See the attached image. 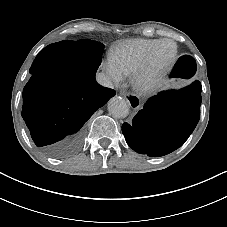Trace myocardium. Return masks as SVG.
<instances>
[{
	"instance_id": "1",
	"label": "myocardium",
	"mask_w": 227,
	"mask_h": 227,
	"mask_svg": "<svg viewBox=\"0 0 227 227\" xmlns=\"http://www.w3.org/2000/svg\"><path fill=\"white\" fill-rule=\"evenodd\" d=\"M165 43H171L174 46V53L160 71L155 76L150 77L149 73L155 65L158 51ZM178 55L179 49L176 42L171 39H162L153 47L145 60L133 70L132 81L134 87L143 93H150L160 88L171 73L178 59Z\"/></svg>"
}]
</instances>
